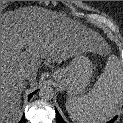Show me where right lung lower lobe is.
I'll return each mask as SVG.
<instances>
[{
    "mask_svg": "<svg viewBox=\"0 0 123 123\" xmlns=\"http://www.w3.org/2000/svg\"><path fill=\"white\" fill-rule=\"evenodd\" d=\"M37 91H35V92H33L32 94H30L29 95V99L33 96V94H35ZM19 123H26V119H25V117H24V115H23V117L21 118V120H20V122Z\"/></svg>",
    "mask_w": 123,
    "mask_h": 123,
    "instance_id": "98d812e1",
    "label": "right lung lower lobe"
}]
</instances>
